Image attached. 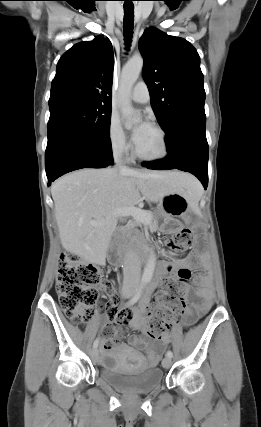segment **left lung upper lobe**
Returning <instances> with one entry per match:
<instances>
[{"instance_id": "1", "label": "left lung upper lobe", "mask_w": 261, "mask_h": 427, "mask_svg": "<svg viewBox=\"0 0 261 427\" xmlns=\"http://www.w3.org/2000/svg\"><path fill=\"white\" fill-rule=\"evenodd\" d=\"M143 77L160 126L166 130L179 115L205 113V90L200 57L191 43L156 28L139 40Z\"/></svg>"}]
</instances>
